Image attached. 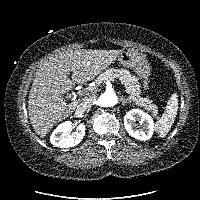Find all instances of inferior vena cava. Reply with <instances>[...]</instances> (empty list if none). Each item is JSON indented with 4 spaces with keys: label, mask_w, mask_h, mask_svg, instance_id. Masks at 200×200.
Segmentation results:
<instances>
[{
    "label": "inferior vena cava",
    "mask_w": 200,
    "mask_h": 200,
    "mask_svg": "<svg viewBox=\"0 0 200 200\" xmlns=\"http://www.w3.org/2000/svg\"><path fill=\"white\" fill-rule=\"evenodd\" d=\"M94 98L93 97H85L81 100L80 105L78 106V111L80 113H84L88 111L93 104Z\"/></svg>",
    "instance_id": "obj_1"
}]
</instances>
